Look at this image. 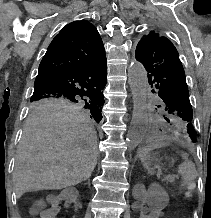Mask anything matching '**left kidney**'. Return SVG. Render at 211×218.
Masks as SVG:
<instances>
[{
  "label": "left kidney",
  "mask_w": 211,
  "mask_h": 218,
  "mask_svg": "<svg viewBox=\"0 0 211 218\" xmlns=\"http://www.w3.org/2000/svg\"><path fill=\"white\" fill-rule=\"evenodd\" d=\"M160 206L161 198H141L140 202H136L134 215H146V218H165L168 210Z\"/></svg>",
  "instance_id": "1"
}]
</instances>
